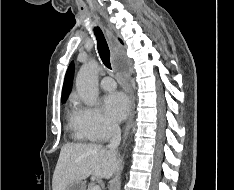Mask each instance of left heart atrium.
<instances>
[{
    "label": "left heart atrium",
    "mask_w": 234,
    "mask_h": 190,
    "mask_svg": "<svg viewBox=\"0 0 234 190\" xmlns=\"http://www.w3.org/2000/svg\"><path fill=\"white\" fill-rule=\"evenodd\" d=\"M106 114L113 121H122L130 107L128 97L122 92H113L104 100Z\"/></svg>",
    "instance_id": "obj_1"
}]
</instances>
